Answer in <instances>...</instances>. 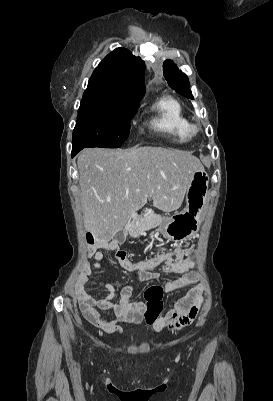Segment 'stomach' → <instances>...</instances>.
<instances>
[{"instance_id":"0dacf381","label":"stomach","mask_w":273,"mask_h":401,"mask_svg":"<svg viewBox=\"0 0 273 401\" xmlns=\"http://www.w3.org/2000/svg\"><path fill=\"white\" fill-rule=\"evenodd\" d=\"M209 174L202 170H194L191 182L185 194L186 207L182 213L172 217H163L162 225L157 231L171 241H186L196 235L200 229L202 213L208 205Z\"/></svg>"}]
</instances>
